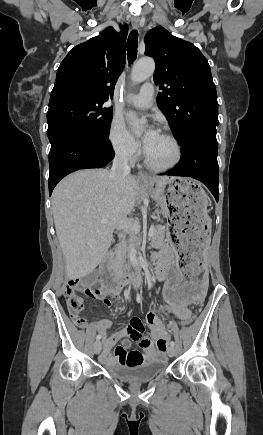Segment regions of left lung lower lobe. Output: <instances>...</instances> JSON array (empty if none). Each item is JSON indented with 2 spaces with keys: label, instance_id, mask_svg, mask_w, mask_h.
<instances>
[{
  "label": "left lung lower lobe",
  "instance_id": "obj_1",
  "mask_svg": "<svg viewBox=\"0 0 263 435\" xmlns=\"http://www.w3.org/2000/svg\"><path fill=\"white\" fill-rule=\"evenodd\" d=\"M182 145V158L176 169L165 173L188 176L205 184L216 201L219 198L216 131H201L189 135Z\"/></svg>",
  "mask_w": 263,
  "mask_h": 435
}]
</instances>
